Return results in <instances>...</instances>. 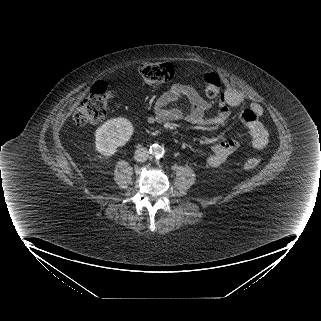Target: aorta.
Returning <instances> with one entry per match:
<instances>
[{
    "instance_id": "762f6f07",
    "label": "aorta",
    "mask_w": 321,
    "mask_h": 321,
    "mask_svg": "<svg viewBox=\"0 0 321 321\" xmlns=\"http://www.w3.org/2000/svg\"><path fill=\"white\" fill-rule=\"evenodd\" d=\"M164 148L158 144H153L150 147V154L155 158H161L164 155Z\"/></svg>"
}]
</instances>
